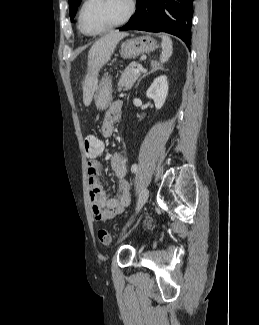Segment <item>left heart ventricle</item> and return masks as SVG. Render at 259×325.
Returning <instances> with one entry per match:
<instances>
[{
    "instance_id": "left-heart-ventricle-1",
    "label": "left heart ventricle",
    "mask_w": 259,
    "mask_h": 325,
    "mask_svg": "<svg viewBox=\"0 0 259 325\" xmlns=\"http://www.w3.org/2000/svg\"><path fill=\"white\" fill-rule=\"evenodd\" d=\"M128 10V0H91L83 12L87 31L103 30L120 21Z\"/></svg>"
}]
</instances>
